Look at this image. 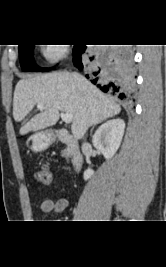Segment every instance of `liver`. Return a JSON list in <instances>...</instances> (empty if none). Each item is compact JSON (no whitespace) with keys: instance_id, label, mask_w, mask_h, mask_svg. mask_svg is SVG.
Masks as SVG:
<instances>
[{"instance_id":"6515ba94","label":"liver","mask_w":166,"mask_h":267,"mask_svg":"<svg viewBox=\"0 0 166 267\" xmlns=\"http://www.w3.org/2000/svg\"><path fill=\"white\" fill-rule=\"evenodd\" d=\"M41 102L45 106L23 126L20 131L22 135L55 125L59 120V111H63L73 115L72 134L81 138L89 126L121 111L120 105L109 100L85 78L82 77L78 82L68 72H52L21 79L14 91V120L22 121Z\"/></svg>"}]
</instances>
